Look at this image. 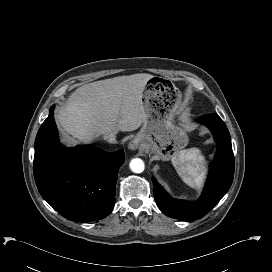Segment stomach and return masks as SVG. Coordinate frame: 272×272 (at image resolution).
Wrapping results in <instances>:
<instances>
[{
  "label": "stomach",
  "instance_id": "0dacf381",
  "mask_svg": "<svg viewBox=\"0 0 272 272\" xmlns=\"http://www.w3.org/2000/svg\"><path fill=\"white\" fill-rule=\"evenodd\" d=\"M180 97L172 82L157 76L143 90L146 119L136 139L158 159L169 160L188 144V135L177 122Z\"/></svg>",
  "mask_w": 272,
  "mask_h": 272
}]
</instances>
